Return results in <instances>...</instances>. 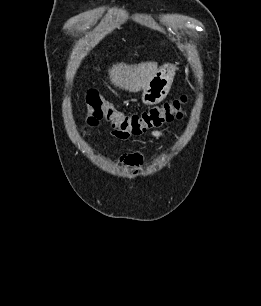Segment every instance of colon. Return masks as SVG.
<instances>
[{"label":"colon","instance_id":"1","mask_svg":"<svg viewBox=\"0 0 261 306\" xmlns=\"http://www.w3.org/2000/svg\"><path fill=\"white\" fill-rule=\"evenodd\" d=\"M186 100V96H181L141 113L128 114L114 107L97 90L90 89L86 94L85 125L86 128H91L97 126L101 121H106L111 125L113 133L118 138L138 136L148 130L160 127L165 122L180 118L181 109Z\"/></svg>","mask_w":261,"mask_h":306}]
</instances>
